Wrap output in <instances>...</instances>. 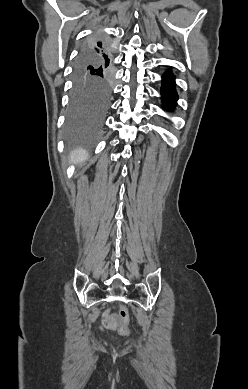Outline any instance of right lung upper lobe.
I'll use <instances>...</instances> for the list:
<instances>
[{
    "mask_svg": "<svg viewBox=\"0 0 248 389\" xmlns=\"http://www.w3.org/2000/svg\"><path fill=\"white\" fill-rule=\"evenodd\" d=\"M93 41H94V39L91 42H93ZM89 44L87 46H89ZM90 47H91V50L93 52L91 57H93L94 59H100L108 64L110 63L109 47L105 42H102L99 40L96 44L91 45Z\"/></svg>",
    "mask_w": 248,
    "mask_h": 389,
    "instance_id": "right-lung-upper-lobe-1",
    "label": "right lung upper lobe"
}]
</instances>
